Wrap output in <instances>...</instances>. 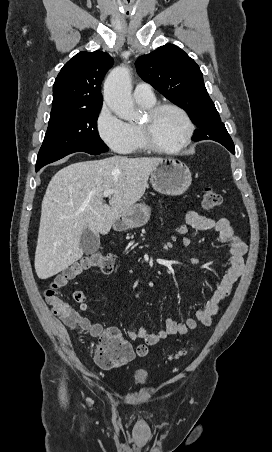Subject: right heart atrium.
I'll return each instance as SVG.
<instances>
[{"label": "right heart atrium", "instance_id": "1", "mask_svg": "<svg viewBox=\"0 0 272 452\" xmlns=\"http://www.w3.org/2000/svg\"><path fill=\"white\" fill-rule=\"evenodd\" d=\"M95 129L102 142L111 150L118 153L126 152L131 138L129 126L115 116L105 103L97 113Z\"/></svg>", "mask_w": 272, "mask_h": 452}]
</instances>
